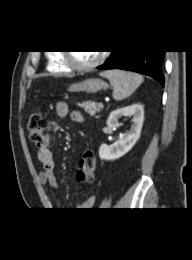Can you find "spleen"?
Wrapping results in <instances>:
<instances>
[{
	"label": "spleen",
	"instance_id": "obj_1",
	"mask_svg": "<svg viewBox=\"0 0 192 260\" xmlns=\"http://www.w3.org/2000/svg\"><path fill=\"white\" fill-rule=\"evenodd\" d=\"M101 77L109 80L113 87V98L116 101L129 97L144 81L137 73L123 70H107L100 73Z\"/></svg>",
	"mask_w": 192,
	"mask_h": 260
}]
</instances>
